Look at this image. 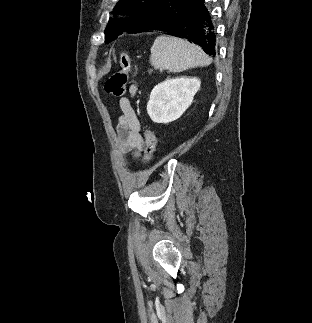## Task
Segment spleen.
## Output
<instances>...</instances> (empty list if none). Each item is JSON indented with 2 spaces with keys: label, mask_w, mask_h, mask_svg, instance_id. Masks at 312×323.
I'll return each instance as SVG.
<instances>
[{
  "label": "spleen",
  "mask_w": 312,
  "mask_h": 323,
  "mask_svg": "<svg viewBox=\"0 0 312 323\" xmlns=\"http://www.w3.org/2000/svg\"><path fill=\"white\" fill-rule=\"evenodd\" d=\"M150 64L155 70L184 72L195 66H209L211 60L200 46L190 44L187 40L174 36H158L151 48Z\"/></svg>",
  "instance_id": "1"
}]
</instances>
